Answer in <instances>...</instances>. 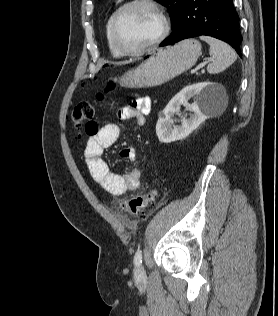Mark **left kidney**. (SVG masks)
I'll return each mask as SVG.
<instances>
[{"label":"left kidney","mask_w":278,"mask_h":316,"mask_svg":"<svg viewBox=\"0 0 278 316\" xmlns=\"http://www.w3.org/2000/svg\"><path fill=\"white\" fill-rule=\"evenodd\" d=\"M225 96L224 87L215 82H202L184 87L177 93L163 110L156 124V134L162 143H171L187 137L209 114L220 105ZM194 98L195 102L189 105L188 100ZM186 106L193 115L183 118L180 126H173V117L179 113L180 106Z\"/></svg>","instance_id":"left-kidney-1"}]
</instances>
